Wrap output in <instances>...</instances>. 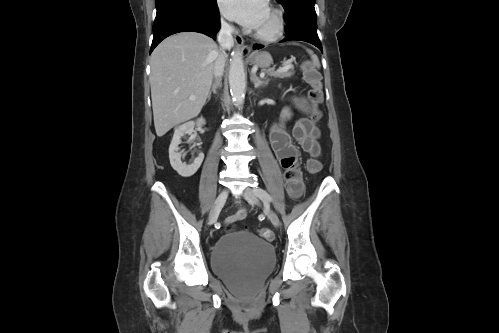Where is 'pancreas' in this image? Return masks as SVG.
<instances>
[{
    "instance_id": "cf45deb5",
    "label": "pancreas",
    "mask_w": 499,
    "mask_h": 333,
    "mask_svg": "<svg viewBox=\"0 0 499 333\" xmlns=\"http://www.w3.org/2000/svg\"><path fill=\"white\" fill-rule=\"evenodd\" d=\"M267 75L273 76V77H278V78H287L291 77L294 74L293 68L291 70L289 69H268L266 70Z\"/></svg>"
}]
</instances>
